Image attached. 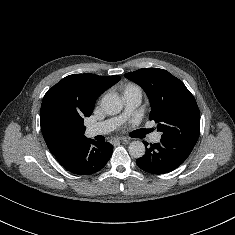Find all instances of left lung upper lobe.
Masks as SVG:
<instances>
[{
    "label": "left lung upper lobe",
    "instance_id": "5c2ea615",
    "mask_svg": "<svg viewBox=\"0 0 235 235\" xmlns=\"http://www.w3.org/2000/svg\"><path fill=\"white\" fill-rule=\"evenodd\" d=\"M140 85L151 105L150 120H155L162 139L196 144L200 132V112L186 86L168 71L144 68L124 75Z\"/></svg>",
    "mask_w": 235,
    "mask_h": 235
}]
</instances>
